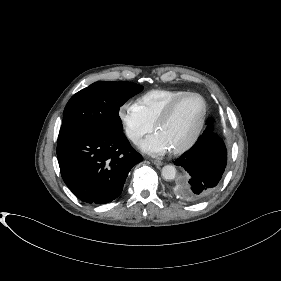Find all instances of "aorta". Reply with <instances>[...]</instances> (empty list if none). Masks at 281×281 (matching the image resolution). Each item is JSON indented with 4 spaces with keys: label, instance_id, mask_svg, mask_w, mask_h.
I'll list each match as a JSON object with an SVG mask.
<instances>
[{
    "label": "aorta",
    "instance_id": "1",
    "mask_svg": "<svg viewBox=\"0 0 281 281\" xmlns=\"http://www.w3.org/2000/svg\"><path fill=\"white\" fill-rule=\"evenodd\" d=\"M161 174L165 180H173L176 177V168L172 165H166L162 168Z\"/></svg>",
    "mask_w": 281,
    "mask_h": 281
}]
</instances>
